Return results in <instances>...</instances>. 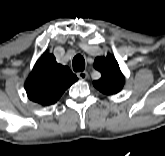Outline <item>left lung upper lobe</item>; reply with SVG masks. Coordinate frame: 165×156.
I'll list each match as a JSON object with an SVG mask.
<instances>
[{"instance_id": "1", "label": "left lung upper lobe", "mask_w": 165, "mask_h": 156, "mask_svg": "<svg viewBox=\"0 0 165 156\" xmlns=\"http://www.w3.org/2000/svg\"><path fill=\"white\" fill-rule=\"evenodd\" d=\"M94 67L102 74L99 80L93 82L95 88L106 95L116 94L122 90L125 78L118 62L111 54L106 57H97Z\"/></svg>"}]
</instances>
